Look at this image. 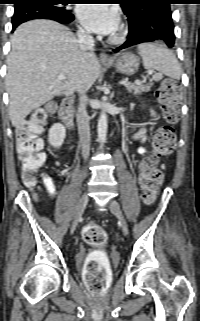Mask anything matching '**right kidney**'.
Instances as JSON below:
<instances>
[{
  "mask_svg": "<svg viewBox=\"0 0 200 321\" xmlns=\"http://www.w3.org/2000/svg\"><path fill=\"white\" fill-rule=\"evenodd\" d=\"M66 136L65 127L60 123H55L51 126L48 133V140L51 146L59 148L64 142Z\"/></svg>",
  "mask_w": 200,
  "mask_h": 321,
  "instance_id": "1",
  "label": "right kidney"
}]
</instances>
